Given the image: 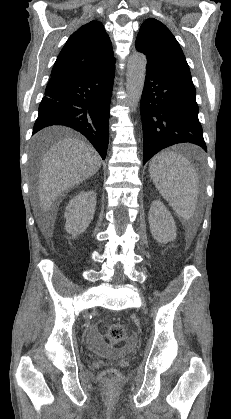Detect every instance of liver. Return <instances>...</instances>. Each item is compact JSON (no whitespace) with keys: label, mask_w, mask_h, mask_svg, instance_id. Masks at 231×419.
<instances>
[{"label":"liver","mask_w":231,"mask_h":419,"mask_svg":"<svg viewBox=\"0 0 231 419\" xmlns=\"http://www.w3.org/2000/svg\"><path fill=\"white\" fill-rule=\"evenodd\" d=\"M47 134L48 131L37 134L34 138L35 144L41 143ZM100 167L101 157L94 147L76 138L58 141L43 156L38 176L41 208L38 224L46 237L53 228L54 218L50 211L56 198L94 175ZM49 214L51 222L48 219Z\"/></svg>","instance_id":"liver-1"}]
</instances>
